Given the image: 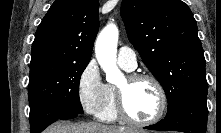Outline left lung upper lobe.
<instances>
[{
	"mask_svg": "<svg viewBox=\"0 0 221 133\" xmlns=\"http://www.w3.org/2000/svg\"><path fill=\"white\" fill-rule=\"evenodd\" d=\"M128 38L161 83L167 115L186 100L207 95L205 58L197 24L181 0H123Z\"/></svg>",
	"mask_w": 221,
	"mask_h": 133,
	"instance_id": "obj_1",
	"label": "left lung upper lobe"
}]
</instances>
